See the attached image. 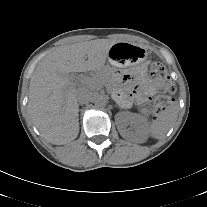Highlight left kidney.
Listing matches in <instances>:
<instances>
[{
  "label": "left kidney",
  "instance_id": "left-kidney-1",
  "mask_svg": "<svg viewBox=\"0 0 207 207\" xmlns=\"http://www.w3.org/2000/svg\"><path fill=\"white\" fill-rule=\"evenodd\" d=\"M119 122V132L126 139H146L147 119L139 114L119 112L115 116ZM127 126H130L127 128Z\"/></svg>",
  "mask_w": 207,
  "mask_h": 207
}]
</instances>
